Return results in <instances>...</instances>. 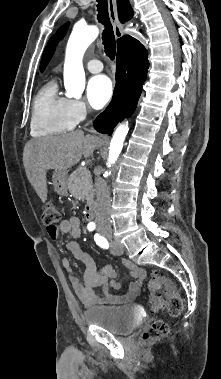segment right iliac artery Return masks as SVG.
Instances as JSON below:
<instances>
[{
	"label": "right iliac artery",
	"mask_w": 221,
	"mask_h": 379,
	"mask_svg": "<svg viewBox=\"0 0 221 379\" xmlns=\"http://www.w3.org/2000/svg\"><path fill=\"white\" fill-rule=\"evenodd\" d=\"M95 227H96V225H95L94 223H89V224L87 225V229H88L89 231H93V230L95 229Z\"/></svg>",
	"instance_id": "obj_1"
}]
</instances>
